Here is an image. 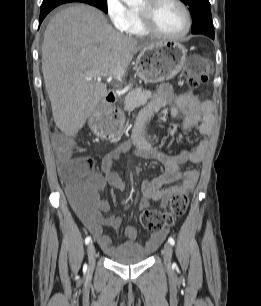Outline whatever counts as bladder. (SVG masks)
Wrapping results in <instances>:
<instances>
[{
  "mask_svg": "<svg viewBox=\"0 0 261 306\" xmlns=\"http://www.w3.org/2000/svg\"><path fill=\"white\" fill-rule=\"evenodd\" d=\"M148 258V254L141 253V254H134L131 256H123V257H111L110 260L118 265L129 266L138 263L145 262Z\"/></svg>",
  "mask_w": 261,
  "mask_h": 306,
  "instance_id": "bladder-1",
  "label": "bladder"
}]
</instances>
